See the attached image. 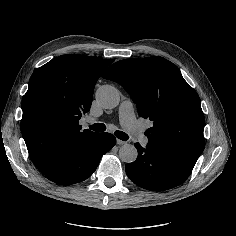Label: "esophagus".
Segmentation results:
<instances>
[{"label":"esophagus","mask_w":236,"mask_h":236,"mask_svg":"<svg viewBox=\"0 0 236 236\" xmlns=\"http://www.w3.org/2000/svg\"><path fill=\"white\" fill-rule=\"evenodd\" d=\"M116 142H117L118 145H123V144H125V142L122 141V140H120V139H117Z\"/></svg>","instance_id":"34e87169"}]
</instances>
